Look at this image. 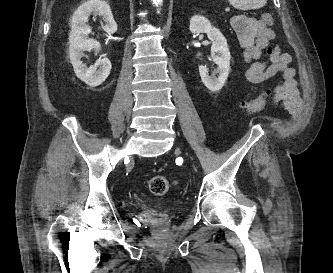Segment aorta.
<instances>
[{"label":"aorta","instance_id":"aorta-1","mask_svg":"<svg viewBox=\"0 0 333 273\" xmlns=\"http://www.w3.org/2000/svg\"><path fill=\"white\" fill-rule=\"evenodd\" d=\"M153 4L156 6H160L163 3V0H152Z\"/></svg>","mask_w":333,"mask_h":273}]
</instances>
